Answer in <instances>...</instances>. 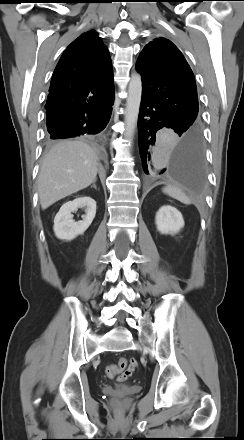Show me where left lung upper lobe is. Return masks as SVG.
<instances>
[{
    "mask_svg": "<svg viewBox=\"0 0 244 440\" xmlns=\"http://www.w3.org/2000/svg\"><path fill=\"white\" fill-rule=\"evenodd\" d=\"M136 70L142 76V96L162 106L182 126L201 132L194 74L180 50L165 38L149 42Z\"/></svg>",
    "mask_w": 244,
    "mask_h": 440,
    "instance_id": "5c2ea615",
    "label": "left lung upper lobe"
}]
</instances>
